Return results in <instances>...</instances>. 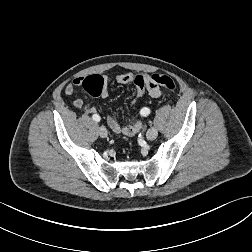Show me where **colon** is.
I'll use <instances>...</instances> for the list:
<instances>
[{"label": "colon", "instance_id": "1", "mask_svg": "<svg viewBox=\"0 0 252 252\" xmlns=\"http://www.w3.org/2000/svg\"><path fill=\"white\" fill-rule=\"evenodd\" d=\"M151 79L159 86L165 89L172 90L175 88L173 79L167 75L155 74ZM136 94L135 99L141 98L146 91V84L142 77H138L135 82ZM83 89L92 96H100L102 92L107 88V83L104 77L101 75H90L84 78L82 82Z\"/></svg>", "mask_w": 252, "mask_h": 252}]
</instances>
